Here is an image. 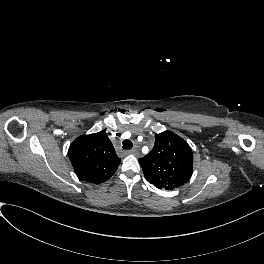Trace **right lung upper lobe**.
<instances>
[{
    "label": "right lung upper lobe",
    "instance_id": "1",
    "mask_svg": "<svg viewBox=\"0 0 264 264\" xmlns=\"http://www.w3.org/2000/svg\"><path fill=\"white\" fill-rule=\"evenodd\" d=\"M68 156L76 175L94 184L107 181L121 161L105 131L76 138Z\"/></svg>",
    "mask_w": 264,
    "mask_h": 264
}]
</instances>
